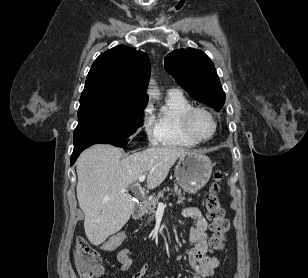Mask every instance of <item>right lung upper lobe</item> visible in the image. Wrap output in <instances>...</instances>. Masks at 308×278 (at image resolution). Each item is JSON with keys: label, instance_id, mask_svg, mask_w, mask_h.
Segmentation results:
<instances>
[{"label": "right lung upper lobe", "instance_id": "right-lung-upper-lobe-1", "mask_svg": "<svg viewBox=\"0 0 308 278\" xmlns=\"http://www.w3.org/2000/svg\"><path fill=\"white\" fill-rule=\"evenodd\" d=\"M147 54L120 45L97 57L80 98L78 116L146 106Z\"/></svg>", "mask_w": 308, "mask_h": 278}]
</instances>
